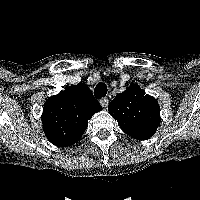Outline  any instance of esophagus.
Instances as JSON below:
<instances>
[{
    "label": "esophagus",
    "mask_w": 200,
    "mask_h": 200,
    "mask_svg": "<svg viewBox=\"0 0 200 200\" xmlns=\"http://www.w3.org/2000/svg\"><path fill=\"white\" fill-rule=\"evenodd\" d=\"M102 107L106 108L109 104V100L107 97H103L99 100Z\"/></svg>",
    "instance_id": "esophagus-1"
}]
</instances>
